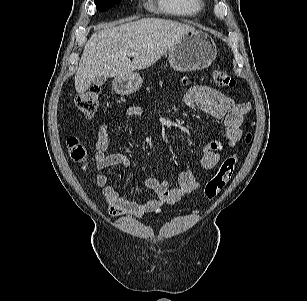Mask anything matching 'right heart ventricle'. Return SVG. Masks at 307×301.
<instances>
[{"label":"right heart ventricle","instance_id":"right-heart-ventricle-1","mask_svg":"<svg viewBox=\"0 0 307 301\" xmlns=\"http://www.w3.org/2000/svg\"><path fill=\"white\" fill-rule=\"evenodd\" d=\"M202 0H157V8L177 16H189L197 13L203 7Z\"/></svg>","mask_w":307,"mask_h":301}]
</instances>
